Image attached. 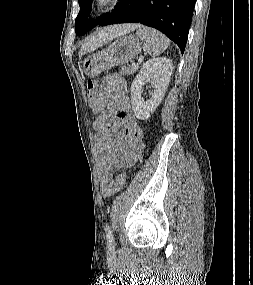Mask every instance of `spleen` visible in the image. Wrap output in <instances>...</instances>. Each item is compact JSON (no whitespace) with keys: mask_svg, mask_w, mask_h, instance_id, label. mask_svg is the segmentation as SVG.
Masks as SVG:
<instances>
[{"mask_svg":"<svg viewBox=\"0 0 253 285\" xmlns=\"http://www.w3.org/2000/svg\"><path fill=\"white\" fill-rule=\"evenodd\" d=\"M137 28V36L144 43V51L152 54L153 56H158L169 46V39L159 31L142 25H138Z\"/></svg>","mask_w":253,"mask_h":285,"instance_id":"1","label":"spleen"}]
</instances>
